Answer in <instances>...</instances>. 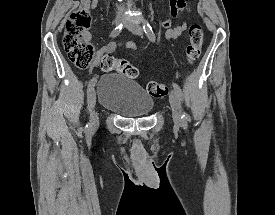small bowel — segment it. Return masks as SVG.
<instances>
[{
  "label": "small bowel",
  "instance_id": "small-bowel-1",
  "mask_svg": "<svg viewBox=\"0 0 275 215\" xmlns=\"http://www.w3.org/2000/svg\"><path fill=\"white\" fill-rule=\"evenodd\" d=\"M170 4V16L171 18H176L179 12L188 11L190 9L188 0H169ZM98 5V0H92L91 7L96 8ZM162 27L166 28L165 37L167 40L176 39L180 37L187 29L186 23H179L175 27L171 28V20H164L161 23ZM89 39L90 36L88 35ZM125 47L132 51L137 50V45L133 41L126 42H111L96 51V58L92 66H97L104 54L113 52L118 47Z\"/></svg>",
  "mask_w": 275,
  "mask_h": 215
}]
</instances>
